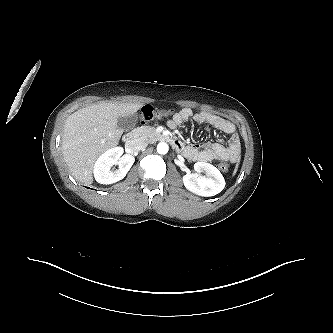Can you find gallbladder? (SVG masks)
Returning <instances> with one entry per match:
<instances>
[{"label":"gallbladder","instance_id":"1","mask_svg":"<svg viewBox=\"0 0 333 333\" xmlns=\"http://www.w3.org/2000/svg\"><path fill=\"white\" fill-rule=\"evenodd\" d=\"M137 119L136 115L120 116L117 119V127L122 131H130L134 128Z\"/></svg>","mask_w":333,"mask_h":333}]
</instances>
